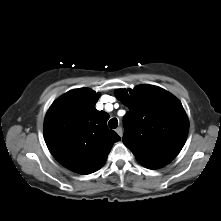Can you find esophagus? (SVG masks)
Returning a JSON list of instances; mask_svg holds the SVG:
<instances>
[{"label": "esophagus", "mask_w": 221, "mask_h": 221, "mask_svg": "<svg viewBox=\"0 0 221 221\" xmlns=\"http://www.w3.org/2000/svg\"><path fill=\"white\" fill-rule=\"evenodd\" d=\"M116 132H117V134H118L120 137H122V135H123L122 127H118V128L116 129Z\"/></svg>", "instance_id": "1"}]
</instances>
